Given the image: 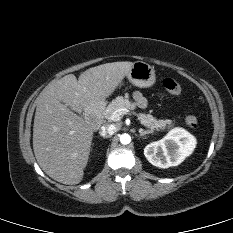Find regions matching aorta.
Returning a JSON list of instances; mask_svg holds the SVG:
<instances>
[{
	"instance_id": "aorta-1",
	"label": "aorta",
	"mask_w": 233,
	"mask_h": 233,
	"mask_svg": "<svg viewBox=\"0 0 233 233\" xmlns=\"http://www.w3.org/2000/svg\"><path fill=\"white\" fill-rule=\"evenodd\" d=\"M120 142L124 145L129 144L131 142V136L126 133L120 135Z\"/></svg>"
}]
</instances>
